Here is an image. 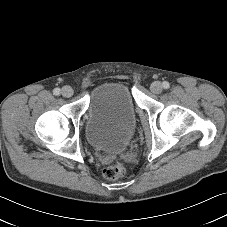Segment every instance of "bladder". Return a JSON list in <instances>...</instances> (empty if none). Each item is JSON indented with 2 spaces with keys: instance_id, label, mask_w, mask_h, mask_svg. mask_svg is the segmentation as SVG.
Segmentation results:
<instances>
[{
  "instance_id": "1",
  "label": "bladder",
  "mask_w": 227,
  "mask_h": 227,
  "mask_svg": "<svg viewBox=\"0 0 227 227\" xmlns=\"http://www.w3.org/2000/svg\"><path fill=\"white\" fill-rule=\"evenodd\" d=\"M136 127V108L128 86L105 82L89 95L85 135L94 148L119 153L127 148Z\"/></svg>"
}]
</instances>
